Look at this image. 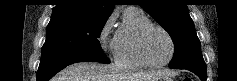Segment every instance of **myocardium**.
<instances>
[{"label": "myocardium", "instance_id": "myocardium-1", "mask_svg": "<svg viewBox=\"0 0 237 81\" xmlns=\"http://www.w3.org/2000/svg\"><path fill=\"white\" fill-rule=\"evenodd\" d=\"M151 28H156V29H159L160 31H162L168 38L170 45H171V53H170L169 58L163 62H160V63H154V62L149 61L145 55V52H144V39H145L147 32ZM175 51H176V45H175L174 39H173L172 35L163 26H161L157 23L149 22L146 25H144L142 28H140V30L138 31L137 36H136V52H137V55L140 58V60L146 66L153 67V68H161V67L168 65L173 60V58L175 56Z\"/></svg>", "mask_w": 237, "mask_h": 81}]
</instances>
